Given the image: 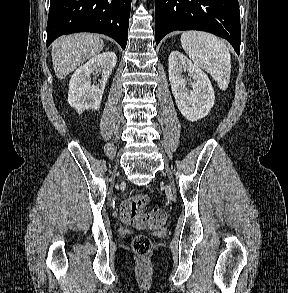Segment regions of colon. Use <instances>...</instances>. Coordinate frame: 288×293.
I'll use <instances>...</instances> for the list:
<instances>
[{
	"label": "colon",
	"instance_id": "1",
	"mask_svg": "<svg viewBox=\"0 0 288 293\" xmlns=\"http://www.w3.org/2000/svg\"><path fill=\"white\" fill-rule=\"evenodd\" d=\"M147 204L148 197L144 194L126 199L120 206L121 219L137 229H154L161 226L166 220L165 211L154 209L144 212ZM151 247V240L146 235H137L132 240V249L139 256L147 255Z\"/></svg>",
	"mask_w": 288,
	"mask_h": 293
}]
</instances>
